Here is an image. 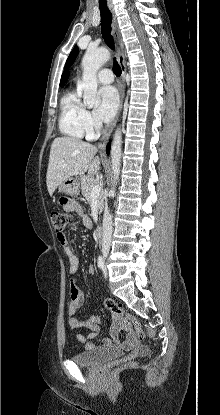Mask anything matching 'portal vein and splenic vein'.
<instances>
[{
    "instance_id": "1",
    "label": "portal vein and splenic vein",
    "mask_w": 220,
    "mask_h": 415,
    "mask_svg": "<svg viewBox=\"0 0 220 415\" xmlns=\"http://www.w3.org/2000/svg\"><path fill=\"white\" fill-rule=\"evenodd\" d=\"M101 189H102V182L98 180V181L96 182V184L93 186V188H92V190H91V193H90V196H91L92 198H93V197H97V196L99 195V193H100Z\"/></svg>"
}]
</instances>
